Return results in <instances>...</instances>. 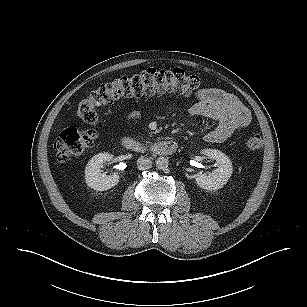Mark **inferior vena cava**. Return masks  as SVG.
Segmentation results:
<instances>
[{"label": "inferior vena cava", "instance_id": "1", "mask_svg": "<svg viewBox=\"0 0 307 307\" xmlns=\"http://www.w3.org/2000/svg\"><path fill=\"white\" fill-rule=\"evenodd\" d=\"M137 167L139 170L150 169L152 167V161L146 156H141L137 160Z\"/></svg>", "mask_w": 307, "mask_h": 307}]
</instances>
